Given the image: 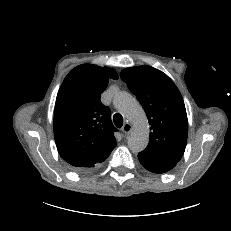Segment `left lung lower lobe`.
Wrapping results in <instances>:
<instances>
[{
	"instance_id": "1",
	"label": "left lung lower lobe",
	"mask_w": 231,
	"mask_h": 231,
	"mask_svg": "<svg viewBox=\"0 0 231 231\" xmlns=\"http://www.w3.org/2000/svg\"><path fill=\"white\" fill-rule=\"evenodd\" d=\"M138 159L141 165L150 172L161 174L171 170L175 167L176 163L161 161L153 159L143 155L142 153L138 154Z\"/></svg>"
}]
</instances>
